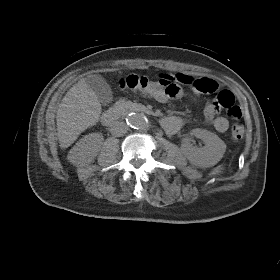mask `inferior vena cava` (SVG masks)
Returning <instances> with one entry per match:
<instances>
[{
    "label": "inferior vena cava",
    "instance_id": "602c4592",
    "mask_svg": "<svg viewBox=\"0 0 280 280\" xmlns=\"http://www.w3.org/2000/svg\"><path fill=\"white\" fill-rule=\"evenodd\" d=\"M128 131V126L124 122L115 121L111 125L110 132L112 135L120 137Z\"/></svg>",
    "mask_w": 280,
    "mask_h": 280
}]
</instances>
